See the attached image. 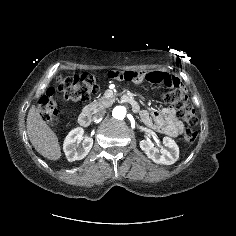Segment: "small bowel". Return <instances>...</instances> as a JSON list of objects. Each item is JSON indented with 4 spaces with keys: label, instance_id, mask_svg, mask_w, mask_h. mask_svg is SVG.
<instances>
[{
    "label": "small bowel",
    "instance_id": "obj_1",
    "mask_svg": "<svg viewBox=\"0 0 236 236\" xmlns=\"http://www.w3.org/2000/svg\"><path fill=\"white\" fill-rule=\"evenodd\" d=\"M107 78L111 81L149 82L168 87L180 86V80L166 72L158 70L141 72L134 67H124L120 71L118 69H109ZM141 118L147 126L171 137H177L183 131L182 123L176 119L174 110L171 108L154 111L143 110Z\"/></svg>",
    "mask_w": 236,
    "mask_h": 236
}]
</instances>
